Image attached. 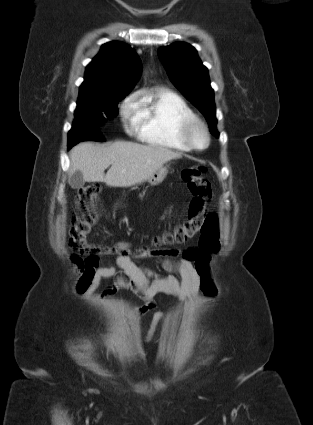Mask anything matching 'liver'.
Instances as JSON below:
<instances>
[{"label": "liver", "instance_id": "6515ba94", "mask_svg": "<svg viewBox=\"0 0 313 425\" xmlns=\"http://www.w3.org/2000/svg\"><path fill=\"white\" fill-rule=\"evenodd\" d=\"M181 157L180 153L160 146L123 141L110 146L84 142L71 150L69 176L80 171L87 182L130 187L147 180L164 163Z\"/></svg>", "mask_w": 313, "mask_h": 425}]
</instances>
